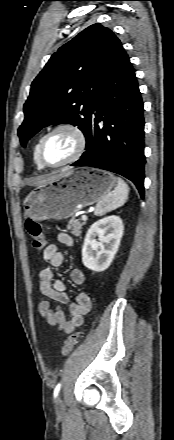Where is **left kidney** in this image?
<instances>
[{
  "instance_id": "left-kidney-1",
  "label": "left kidney",
  "mask_w": 174,
  "mask_h": 440,
  "mask_svg": "<svg viewBox=\"0 0 174 440\" xmlns=\"http://www.w3.org/2000/svg\"><path fill=\"white\" fill-rule=\"evenodd\" d=\"M123 230V222L119 216L112 215L96 221L89 228L84 239L82 247L84 266L96 272L106 270L118 250Z\"/></svg>"
}]
</instances>
